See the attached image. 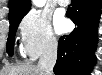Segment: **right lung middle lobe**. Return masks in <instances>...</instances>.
<instances>
[{
  "mask_svg": "<svg viewBox=\"0 0 102 75\" xmlns=\"http://www.w3.org/2000/svg\"><path fill=\"white\" fill-rule=\"evenodd\" d=\"M26 13L27 12L9 17L10 30H9L7 46H6V50L9 56L13 55L16 30L18 28L20 21L26 15Z\"/></svg>",
  "mask_w": 102,
  "mask_h": 75,
  "instance_id": "right-lung-middle-lobe-1",
  "label": "right lung middle lobe"
}]
</instances>
